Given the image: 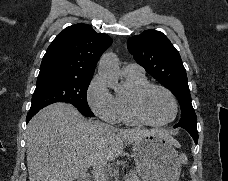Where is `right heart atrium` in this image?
<instances>
[{
    "instance_id": "right-heart-atrium-1",
    "label": "right heart atrium",
    "mask_w": 228,
    "mask_h": 181,
    "mask_svg": "<svg viewBox=\"0 0 228 181\" xmlns=\"http://www.w3.org/2000/svg\"><path fill=\"white\" fill-rule=\"evenodd\" d=\"M107 78L101 74L96 76L88 89V102L92 111L104 121L115 124L119 121L115 97L107 89Z\"/></svg>"
}]
</instances>
